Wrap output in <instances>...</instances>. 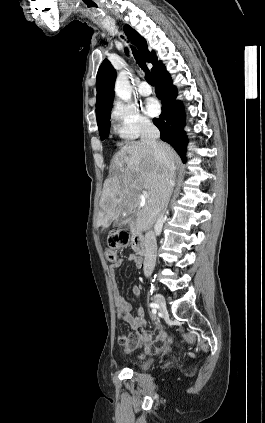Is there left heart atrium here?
Instances as JSON below:
<instances>
[{
    "instance_id": "obj_1",
    "label": "left heart atrium",
    "mask_w": 265,
    "mask_h": 423,
    "mask_svg": "<svg viewBox=\"0 0 265 423\" xmlns=\"http://www.w3.org/2000/svg\"><path fill=\"white\" fill-rule=\"evenodd\" d=\"M145 111L150 116H157L160 113V105L158 101L153 98L147 100Z\"/></svg>"
}]
</instances>
